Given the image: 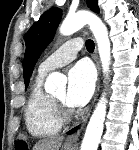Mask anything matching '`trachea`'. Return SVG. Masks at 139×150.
I'll return each instance as SVG.
<instances>
[{"label":"trachea","instance_id":"1","mask_svg":"<svg viewBox=\"0 0 139 150\" xmlns=\"http://www.w3.org/2000/svg\"><path fill=\"white\" fill-rule=\"evenodd\" d=\"M86 48L89 52L94 51V42L90 39L86 41Z\"/></svg>","mask_w":139,"mask_h":150}]
</instances>
